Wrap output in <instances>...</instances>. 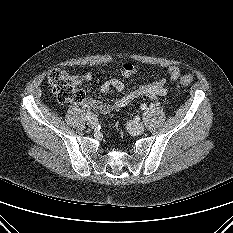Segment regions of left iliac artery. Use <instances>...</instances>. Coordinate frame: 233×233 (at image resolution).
<instances>
[{
    "mask_svg": "<svg viewBox=\"0 0 233 233\" xmlns=\"http://www.w3.org/2000/svg\"><path fill=\"white\" fill-rule=\"evenodd\" d=\"M153 106H154V104H151V107H153ZM146 107H147V105H146L145 103H142V104L140 105V108H141L142 110L146 109Z\"/></svg>",
    "mask_w": 233,
    "mask_h": 233,
    "instance_id": "1",
    "label": "left iliac artery"
}]
</instances>
